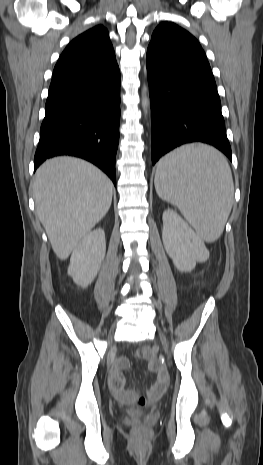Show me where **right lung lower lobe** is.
<instances>
[{"label": "right lung lower lobe", "instance_id": "right-lung-lower-lobe-1", "mask_svg": "<svg viewBox=\"0 0 263 465\" xmlns=\"http://www.w3.org/2000/svg\"><path fill=\"white\" fill-rule=\"evenodd\" d=\"M120 71L49 89L34 170L47 158L71 155L102 169L116 184Z\"/></svg>", "mask_w": 263, "mask_h": 465}]
</instances>
